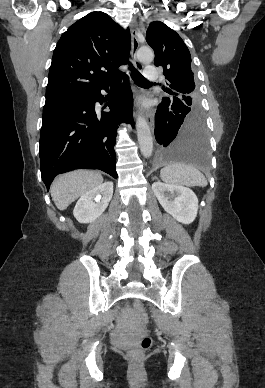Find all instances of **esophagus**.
Here are the masks:
<instances>
[{"label": "esophagus", "instance_id": "34e87169", "mask_svg": "<svg viewBox=\"0 0 265 388\" xmlns=\"http://www.w3.org/2000/svg\"><path fill=\"white\" fill-rule=\"evenodd\" d=\"M130 33H131V37H132V57H133V63H134V66L136 67V69L139 70V72H142L143 65H142V63H140L137 60V57H136L137 50L139 48V40H138V37H137L138 24H137L136 20H133L131 22V24H130ZM147 122L150 125L151 129L153 130L154 129V112L153 111H150V112L147 113Z\"/></svg>", "mask_w": 265, "mask_h": 388}]
</instances>
